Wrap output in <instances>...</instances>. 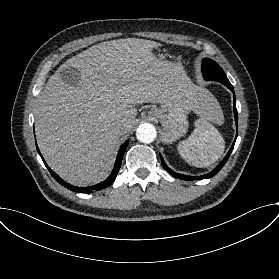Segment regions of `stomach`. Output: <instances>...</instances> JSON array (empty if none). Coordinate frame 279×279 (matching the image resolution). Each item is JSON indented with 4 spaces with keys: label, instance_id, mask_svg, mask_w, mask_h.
Segmentation results:
<instances>
[{
    "label": "stomach",
    "instance_id": "1",
    "mask_svg": "<svg viewBox=\"0 0 279 279\" xmlns=\"http://www.w3.org/2000/svg\"><path fill=\"white\" fill-rule=\"evenodd\" d=\"M160 107L151 108L147 117L161 121L163 127L161 140L169 144L185 134L188 127L186 114L191 110L181 100L180 91L171 93L168 97V103L160 105Z\"/></svg>",
    "mask_w": 279,
    "mask_h": 279
}]
</instances>
